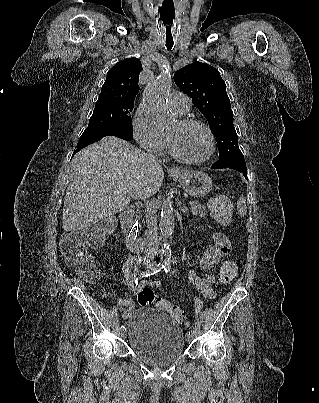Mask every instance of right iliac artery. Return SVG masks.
<instances>
[{
	"label": "right iliac artery",
	"instance_id": "obj_1",
	"mask_svg": "<svg viewBox=\"0 0 319 403\" xmlns=\"http://www.w3.org/2000/svg\"><path fill=\"white\" fill-rule=\"evenodd\" d=\"M164 265H165V263H158L155 267L148 269L146 271H143L138 277H136L132 280L131 289L135 291L140 286V284H138L139 279H141L143 277H148V276H151V275H154V274L160 272L164 268ZM120 329H121V331L124 330L125 326L122 325Z\"/></svg>",
	"mask_w": 319,
	"mask_h": 403
}]
</instances>
